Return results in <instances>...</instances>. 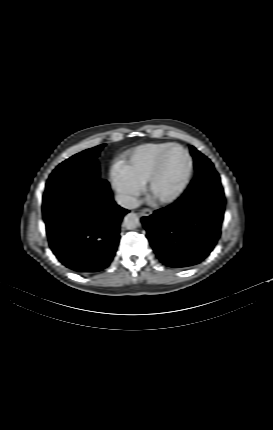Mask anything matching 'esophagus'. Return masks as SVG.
Wrapping results in <instances>:
<instances>
[{
  "label": "esophagus",
  "mask_w": 273,
  "mask_h": 430,
  "mask_svg": "<svg viewBox=\"0 0 273 430\" xmlns=\"http://www.w3.org/2000/svg\"><path fill=\"white\" fill-rule=\"evenodd\" d=\"M151 214H152V210H150L149 208H144L140 211L141 216L149 217Z\"/></svg>",
  "instance_id": "34e87169"
}]
</instances>
